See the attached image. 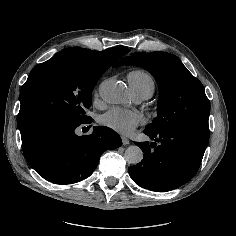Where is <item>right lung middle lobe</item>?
Returning <instances> with one entry per match:
<instances>
[{
    "instance_id": "dd1d6c3e",
    "label": "right lung middle lobe",
    "mask_w": 236,
    "mask_h": 236,
    "mask_svg": "<svg viewBox=\"0 0 236 236\" xmlns=\"http://www.w3.org/2000/svg\"><path fill=\"white\" fill-rule=\"evenodd\" d=\"M110 66L78 47L64 49L35 66L20 92L21 139L50 125L87 122L92 90Z\"/></svg>"
}]
</instances>
